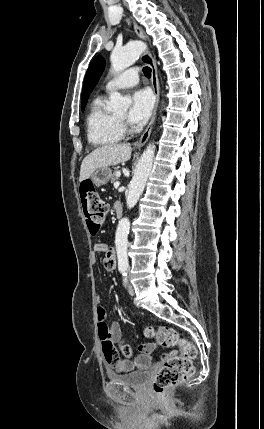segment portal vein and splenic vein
Returning a JSON list of instances; mask_svg holds the SVG:
<instances>
[{
	"instance_id": "1",
	"label": "portal vein and splenic vein",
	"mask_w": 264,
	"mask_h": 429,
	"mask_svg": "<svg viewBox=\"0 0 264 429\" xmlns=\"http://www.w3.org/2000/svg\"><path fill=\"white\" fill-rule=\"evenodd\" d=\"M119 186H120V182L119 181H117V182L114 183V187L115 188H118Z\"/></svg>"
}]
</instances>
